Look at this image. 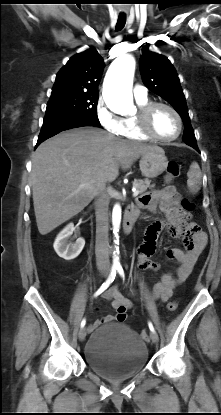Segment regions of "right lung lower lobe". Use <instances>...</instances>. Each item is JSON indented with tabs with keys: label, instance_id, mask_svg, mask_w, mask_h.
I'll return each mask as SVG.
<instances>
[{
	"label": "right lung lower lobe",
	"instance_id": "obj_1",
	"mask_svg": "<svg viewBox=\"0 0 221 415\" xmlns=\"http://www.w3.org/2000/svg\"><path fill=\"white\" fill-rule=\"evenodd\" d=\"M83 126L99 127L100 123L81 116L56 114L45 115L36 147L46 139L58 134L59 132Z\"/></svg>",
	"mask_w": 221,
	"mask_h": 415
}]
</instances>
